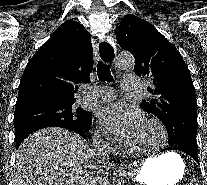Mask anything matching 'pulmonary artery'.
Masks as SVG:
<instances>
[{"mask_svg": "<svg viewBox=\"0 0 207 185\" xmlns=\"http://www.w3.org/2000/svg\"><path fill=\"white\" fill-rule=\"evenodd\" d=\"M121 82H124L123 91H138L139 82L137 77H121ZM106 90H90L85 94L84 99L89 102L103 103L114 99L117 96V91L111 87H106Z\"/></svg>", "mask_w": 207, "mask_h": 185, "instance_id": "1", "label": "pulmonary artery"}]
</instances>
